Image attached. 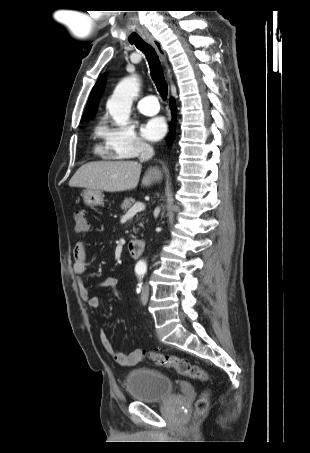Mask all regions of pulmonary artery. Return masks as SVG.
<instances>
[{
    "mask_svg": "<svg viewBox=\"0 0 310 453\" xmlns=\"http://www.w3.org/2000/svg\"><path fill=\"white\" fill-rule=\"evenodd\" d=\"M137 108L144 115H155L159 112L160 106L154 95H148L139 100Z\"/></svg>",
    "mask_w": 310,
    "mask_h": 453,
    "instance_id": "1",
    "label": "pulmonary artery"
}]
</instances>
